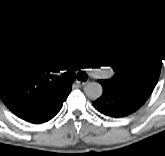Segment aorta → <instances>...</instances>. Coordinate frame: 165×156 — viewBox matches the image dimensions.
Returning a JSON list of instances; mask_svg holds the SVG:
<instances>
[{
    "label": "aorta",
    "mask_w": 165,
    "mask_h": 156,
    "mask_svg": "<svg viewBox=\"0 0 165 156\" xmlns=\"http://www.w3.org/2000/svg\"><path fill=\"white\" fill-rule=\"evenodd\" d=\"M103 92L102 86L97 82H90L85 85L84 93L90 99L96 100L98 99Z\"/></svg>",
    "instance_id": "1"
}]
</instances>
